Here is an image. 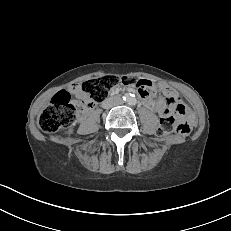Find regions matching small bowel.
<instances>
[{
    "label": "small bowel",
    "mask_w": 231,
    "mask_h": 231,
    "mask_svg": "<svg viewBox=\"0 0 231 231\" xmlns=\"http://www.w3.org/2000/svg\"><path fill=\"white\" fill-rule=\"evenodd\" d=\"M151 89L152 91H154V88H151ZM71 90L78 99H82L84 97V94L81 90V86L79 84L73 85L71 87ZM160 90L165 94L166 97H169L176 102L179 100L178 94L171 87L167 85H161ZM144 99H145L146 105L151 110L158 112L161 116L169 113V109L166 106H164L162 101L154 100V99H151L150 97H144Z\"/></svg>",
    "instance_id": "obj_1"
}]
</instances>
